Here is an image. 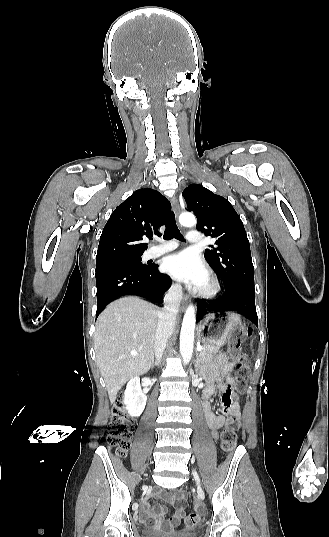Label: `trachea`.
Here are the masks:
<instances>
[{
    "label": "trachea",
    "instance_id": "trachea-1",
    "mask_svg": "<svg viewBox=\"0 0 329 537\" xmlns=\"http://www.w3.org/2000/svg\"><path fill=\"white\" fill-rule=\"evenodd\" d=\"M172 237L178 240H183V236L176 225L175 215L173 212L169 215L167 220L164 239L167 240Z\"/></svg>",
    "mask_w": 329,
    "mask_h": 537
}]
</instances>
